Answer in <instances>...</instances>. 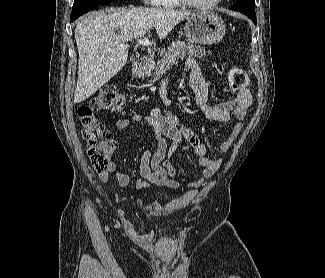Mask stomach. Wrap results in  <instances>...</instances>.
<instances>
[{"label": "stomach", "instance_id": "stomach-1", "mask_svg": "<svg viewBox=\"0 0 325 278\" xmlns=\"http://www.w3.org/2000/svg\"><path fill=\"white\" fill-rule=\"evenodd\" d=\"M226 27L221 17L213 12L202 11L190 15L185 24V34L189 41L198 44L212 45L219 43L225 35ZM139 76L150 73L136 72Z\"/></svg>", "mask_w": 325, "mask_h": 278}]
</instances>
